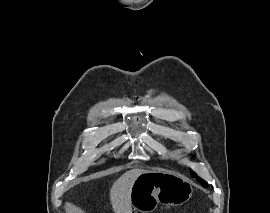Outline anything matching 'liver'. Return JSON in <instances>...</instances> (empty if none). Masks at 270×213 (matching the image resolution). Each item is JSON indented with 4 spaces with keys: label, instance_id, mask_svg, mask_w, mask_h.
I'll use <instances>...</instances> for the list:
<instances>
[{
    "label": "liver",
    "instance_id": "6515ba94",
    "mask_svg": "<svg viewBox=\"0 0 270 213\" xmlns=\"http://www.w3.org/2000/svg\"><path fill=\"white\" fill-rule=\"evenodd\" d=\"M143 169H131L122 174L110 189V201L114 213H132L131 189L135 179L145 173Z\"/></svg>",
    "mask_w": 270,
    "mask_h": 213
}]
</instances>
